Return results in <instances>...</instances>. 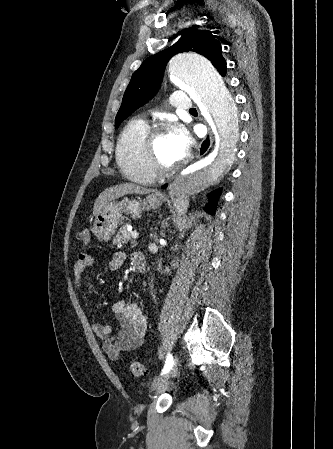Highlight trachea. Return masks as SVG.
<instances>
[{
    "label": "trachea",
    "mask_w": 333,
    "mask_h": 449,
    "mask_svg": "<svg viewBox=\"0 0 333 449\" xmlns=\"http://www.w3.org/2000/svg\"><path fill=\"white\" fill-rule=\"evenodd\" d=\"M189 112H196V109L192 108V109L189 110Z\"/></svg>",
    "instance_id": "trachea-1"
}]
</instances>
